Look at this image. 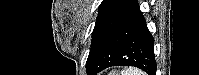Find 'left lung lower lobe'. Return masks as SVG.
<instances>
[{
    "label": "left lung lower lobe",
    "mask_w": 199,
    "mask_h": 75,
    "mask_svg": "<svg viewBox=\"0 0 199 75\" xmlns=\"http://www.w3.org/2000/svg\"><path fill=\"white\" fill-rule=\"evenodd\" d=\"M119 65L135 66L156 75L154 38L137 0H122L108 19L86 63L87 75Z\"/></svg>",
    "instance_id": "1"
}]
</instances>
